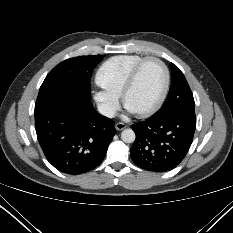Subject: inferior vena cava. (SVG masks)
I'll return each mask as SVG.
<instances>
[{
  "label": "inferior vena cava",
  "instance_id": "602c4592",
  "mask_svg": "<svg viewBox=\"0 0 233 233\" xmlns=\"http://www.w3.org/2000/svg\"><path fill=\"white\" fill-rule=\"evenodd\" d=\"M97 108L101 115H104L109 118H113L115 116L116 110L108 104H103V103L98 104Z\"/></svg>",
  "mask_w": 233,
  "mask_h": 233
}]
</instances>
